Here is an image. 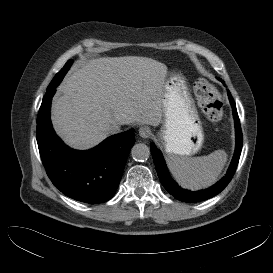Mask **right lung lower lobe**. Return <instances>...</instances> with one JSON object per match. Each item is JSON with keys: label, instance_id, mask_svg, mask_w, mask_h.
<instances>
[{"label": "right lung lower lobe", "instance_id": "98d812e1", "mask_svg": "<svg viewBox=\"0 0 273 273\" xmlns=\"http://www.w3.org/2000/svg\"><path fill=\"white\" fill-rule=\"evenodd\" d=\"M55 90L43 97L37 117V143L46 173L66 196L96 204L115 194L131 147L134 129L113 135L88 151L67 147L55 134L50 108Z\"/></svg>", "mask_w": 273, "mask_h": 273}]
</instances>
